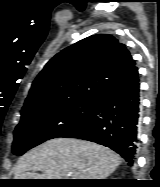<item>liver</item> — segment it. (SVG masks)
Instances as JSON below:
<instances>
[{"instance_id": "obj_1", "label": "liver", "mask_w": 160, "mask_h": 187, "mask_svg": "<svg viewBox=\"0 0 160 187\" xmlns=\"http://www.w3.org/2000/svg\"><path fill=\"white\" fill-rule=\"evenodd\" d=\"M120 164V156L107 147L80 139L55 138L24 154L17 162L14 175L15 179H65L68 176L106 179Z\"/></svg>"}]
</instances>
